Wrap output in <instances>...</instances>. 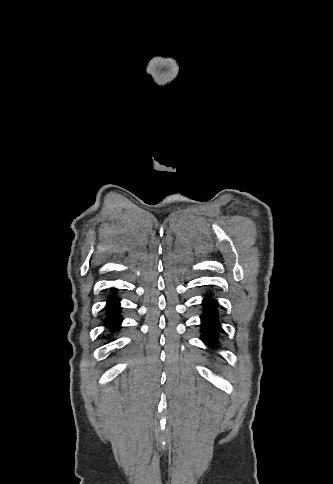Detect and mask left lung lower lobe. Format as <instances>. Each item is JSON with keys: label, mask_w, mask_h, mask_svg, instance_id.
I'll return each mask as SVG.
<instances>
[{"label": "left lung lower lobe", "mask_w": 333, "mask_h": 484, "mask_svg": "<svg viewBox=\"0 0 333 484\" xmlns=\"http://www.w3.org/2000/svg\"><path fill=\"white\" fill-rule=\"evenodd\" d=\"M205 312L201 317L202 340L209 346H216L218 343V303L212 300V296H207L202 303Z\"/></svg>", "instance_id": "0a47b994"}]
</instances>
